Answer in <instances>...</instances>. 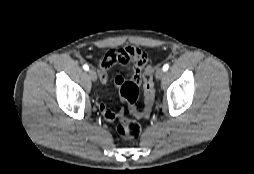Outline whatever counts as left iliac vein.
Returning a JSON list of instances; mask_svg holds the SVG:
<instances>
[{
    "instance_id": "obj_1",
    "label": "left iliac vein",
    "mask_w": 254,
    "mask_h": 174,
    "mask_svg": "<svg viewBox=\"0 0 254 174\" xmlns=\"http://www.w3.org/2000/svg\"><path fill=\"white\" fill-rule=\"evenodd\" d=\"M164 76V71L162 68H157L156 72H155V78L156 79H162Z\"/></svg>"
}]
</instances>
